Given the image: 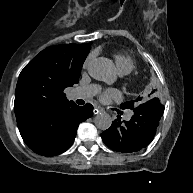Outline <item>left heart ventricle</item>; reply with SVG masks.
I'll return each instance as SVG.
<instances>
[{
  "label": "left heart ventricle",
  "instance_id": "b2bd125f",
  "mask_svg": "<svg viewBox=\"0 0 193 193\" xmlns=\"http://www.w3.org/2000/svg\"><path fill=\"white\" fill-rule=\"evenodd\" d=\"M106 83L107 84H113V81H107Z\"/></svg>",
  "mask_w": 193,
  "mask_h": 193
}]
</instances>
